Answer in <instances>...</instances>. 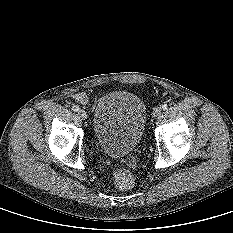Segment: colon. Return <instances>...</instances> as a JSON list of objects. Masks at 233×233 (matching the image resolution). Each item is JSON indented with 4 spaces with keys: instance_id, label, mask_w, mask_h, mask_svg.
<instances>
[{
    "instance_id": "obj_1",
    "label": "colon",
    "mask_w": 233,
    "mask_h": 233,
    "mask_svg": "<svg viewBox=\"0 0 233 233\" xmlns=\"http://www.w3.org/2000/svg\"><path fill=\"white\" fill-rule=\"evenodd\" d=\"M114 184L120 190H128L134 184V177L127 169H119L114 174Z\"/></svg>"
}]
</instances>
